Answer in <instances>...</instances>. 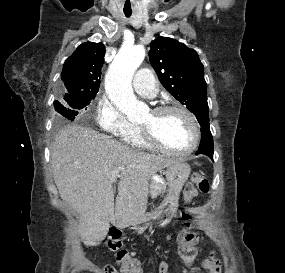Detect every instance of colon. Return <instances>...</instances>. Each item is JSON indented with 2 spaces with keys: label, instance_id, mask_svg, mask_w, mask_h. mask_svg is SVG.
<instances>
[{
  "label": "colon",
  "instance_id": "colon-1",
  "mask_svg": "<svg viewBox=\"0 0 285 273\" xmlns=\"http://www.w3.org/2000/svg\"><path fill=\"white\" fill-rule=\"evenodd\" d=\"M209 192L208 180L200 175L194 174L191 181L185 186L182 200L184 206H193V198L198 193L207 194ZM188 207L180 208V219L186 225L190 224L191 211ZM197 235L190 229L180 233L178 239V254L186 266L192 265L197 257ZM108 250L115 256L116 263L121 273H141V265L137 258L129 254L123 247V241L116 231H111L108 239L105 242ZM104 273H119L113 267H107Z\"/></svg>",
  "mask_w": 285,
  "mask_h": 273
}]
</instances>
